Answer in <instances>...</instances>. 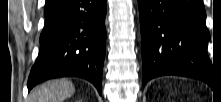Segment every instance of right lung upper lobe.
<instances>
[{
    "label": "right lung upper lobe",
    "mask_w": 221,
    "mask_h": 102,
    "mask_svg": "<svg viewBox=\"0 0 221 102\" xmlns=\"http://www.w3.org/2000/svg\"><path fill=\"white\" fill-rule=\"evenodd\" d=\"M56 0H47L46 1V5H45V8L50 6L51 4H53Z\"/></svg>",
    "instance_id": "obj_1"
}]
</instances>
